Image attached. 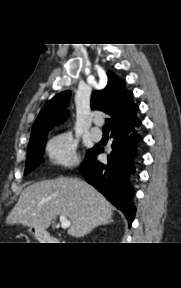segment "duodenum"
<instances>
[{
	"label": "duodenum",
	"mask_w": 181,
	"mask_h": 288,
	"mask_svg": "<svg viewBox=\"0 0 181 288\" xmlns=\"http://www.w3.org/2000/svg\"><path fill=\"white\" fill-rule=\"evenodd\" d=\"M36 236L37 239L43 243H60L61 241L60 238L53 237L46 231H38Z\"/></svg>",
	"instance_id": "duodenum-1"
}]
</instances>
